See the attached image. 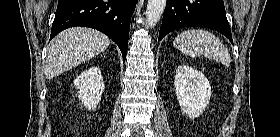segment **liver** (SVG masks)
<instances>
[{
	"mask_svg": "<svg viewBox=\"0 0 280 137\" xmlns=\"http://www.w3.org/2000/svg\"><path fill=\"white\" fill-rule=\"evenodd\" d=\"M110 39L90 28L75 27L59 33L49 44L45 76H55L104 52Z\"/></svg>",
	"mask_w": 280,
	"mask_h": 137,
	"instance_id": "6515ba94",
	"label": "liver"
}]
</instances>
